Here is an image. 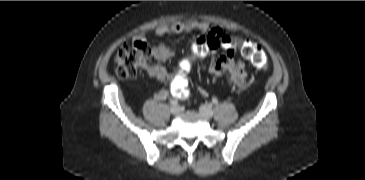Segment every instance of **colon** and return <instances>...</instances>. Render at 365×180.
I'll use <instances>...</instances> for the list:
<instances>
[{
	"mask_svg": "<svg viewBox=\"0 0 365 180\" xmlns=\"http://www.w3.org/2000/svg\"><path fill=\"white\" fill-rule=\"evenodd\" d=\"M223 41L230 43V49L239 50L242 56L250 61L256 68L266 70L268 60L263 48L250 40L235 38L233 35H226ZM207 44H219L217 39L211 35L206 38ZM195 52L198 56L204 55V47L195 45ZM116 73L122 80L135 77L142 68L148 69L153 66V58L145 42L135 40L123 44L115 54ZM172 92L175 97L186 98L189 95L188 84L184 78H180L172 85Z\"/></svg>",
	"mask_w": 365,
	"mask_h": 180,
	"instance_id": "1",
	"label": "colon"
}]
</instances>
